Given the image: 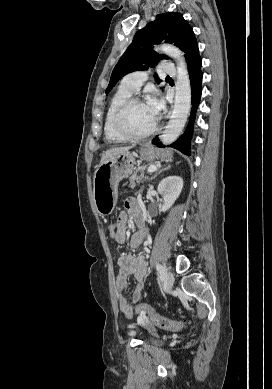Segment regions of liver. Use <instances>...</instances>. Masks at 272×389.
I'll use <instances>...</instances> for the list:
<instances>
[{"label":"liver","mask_w":272,"mask_h":389,"mask_svg":"<svg viewBox=\"0 0 272 389\" xmlns=\"http://www.w3.org/2000/svg\"><path fill=\"white\" fill-rule=\"evenodd\" d=\"M134 145H131V146H125V147H115V148H111V149H108L107 151H105L103 154H102V157H101V163H104L105 161H107L109 158H112L116 155H119L121 153H124V152H127L129 151L131 148H133Z\"/></svg>","instance_id":"1"}]
</instances>
